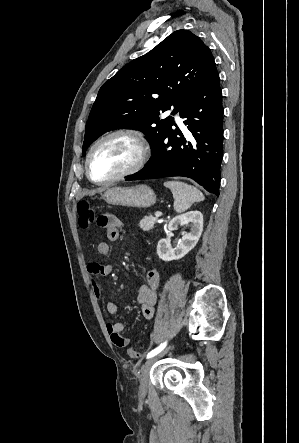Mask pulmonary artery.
I'll return each instance as SVG.
<instances>
[{"label":"pulmonary artery","instance_id":"obj_1","mask_svg":"<svg viewBox=\"0 0 299 443\" xmlns=\"http://www.w3.org/2000/svg\"><path fill=\"white\" fill-rule=\"evenodd\" d=\"M168 114H171V112H168ZM172 116H173V118H174V121L177 123V124H182V119L180 118V116L178 115V114H172Z\"/></svg>","mask_w":299,"mask_h":443}]
</instances>
